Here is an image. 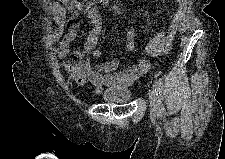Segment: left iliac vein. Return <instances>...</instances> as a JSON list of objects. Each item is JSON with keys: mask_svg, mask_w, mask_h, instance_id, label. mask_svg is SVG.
Here are the masks:
<instances>
[{"mask_svg": "<svg viewBox=\"0 0 225 159\" xmlns=\"http://www.w3.org/2000/svg\"><path fill=\"white\" fill-rule=\"evenodd\" d=\"M149 99H150V106H151V114L153 117H156L160 111L159 110L160 103L154 88L149 93Z\"/></svg>", "mask_w": 225, "mask_h": 159, "instance_id": "4c4485c4", "label": "left iliac vein"}]
</instances>
